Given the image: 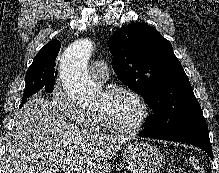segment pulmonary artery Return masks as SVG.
<instances>
[{"label":"pulmonary artery","instance_id":"pulmonary-artery-1","mask_svg":"<svg viewBox=\"0 0 219 173\" xmlns=\"http://www.w3.org/2000/svg\"><path fill=\"white\" fill-rule=\"evenodd\" d=\"M89 72L93 79L100 82L106 81L109 75L107 63L103 59L92 62Z\"/></svg>","mask_w":219,"mask_h":173}]
</instances>
